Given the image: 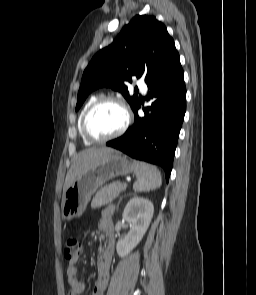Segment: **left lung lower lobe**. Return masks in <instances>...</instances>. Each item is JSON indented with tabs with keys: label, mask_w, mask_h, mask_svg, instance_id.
I'll list each match as a JSON object with an SVG mask.
<instances>
[{
	"label": "left lung lower lobe",
	"mask_w": 256,
	"mask_h": 295,
	"mask_svg": "<svg viewBox=\"0 0 256 295\" xmlns=\"http://www.w3.org/2000/svg\"><path fill=\"white\" fill-rule=\"evenodd\" d=\"M147 85L150 92L146 99L151 101V106L143 109L145 116H138L139 102L132 109L134 125L106 145L135 159L162 166L168 181L186 111V87L180 60Z\"/></svg>",
	"instance_id": "0a47b994"
}]
</instances>
